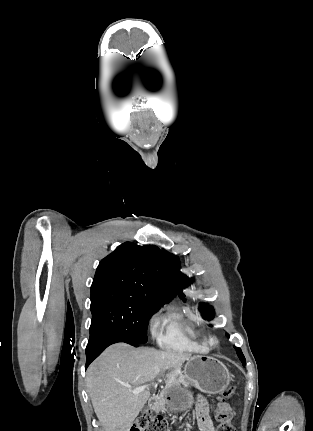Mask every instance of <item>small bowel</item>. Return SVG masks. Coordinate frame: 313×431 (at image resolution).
<instances>
[{"mask_svg": "<svg viewBox=\"0 0 313 431\" xmlns=\"http://www.w3.org/2000/svg\"><path fill=\"white\" fill-rule=\"evenodd\" d=\"M218 406L222 410L232 413V409L227 404H219ZM197 418H198V424L201 431H215L213 422L209 415L208 403L206 399L202 396L198 398Z\"/></svg>", "mask_w": 313, "mask_h": 431, "instance_id": "obj_1", "label": "small bowel"}]
</instances>
